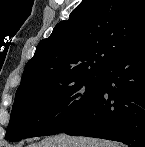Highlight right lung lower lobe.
<instances>
[{"label":"right lung lower lobe","instance_id":"1","mask_svg":"<svg viewBox=\"0 0 145 147\" xmlns=\"http://www.w3.org/2000/svg\"><path fill=\"white\" fill-rule=\"evenodd\" d=\"M63 132L145 147V34L102 70L96 96Z\"/></svg>","mask_w":145,"mask_h":147}]
</instances>
